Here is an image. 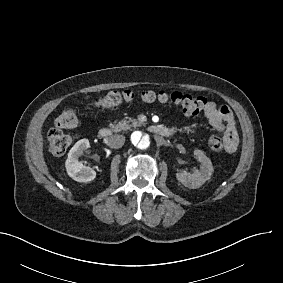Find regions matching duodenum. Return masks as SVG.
Segmentation results:
<instances>
[{"instance_id":"1","label":"duodenum","mask_w":283,"mask_h":283,"mask_svg":"<svg viewBox=\"0 0 283 283\" xmlns=\"http://www.w3.org/2000/svg\"><path fill=\"white\" fill-rule=\"evenodd\" d=\"M148 131L153 135L160 136V137H168L172 135V131L169 128L158 126V125H151L148 127ZM113 135V129L110 127H102L99 130V136L101 138H109Z\"/></svg>"}]
</instances>
